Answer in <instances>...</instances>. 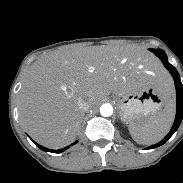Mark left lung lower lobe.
<instances>
[{"mask_svg":"<svg viewBox=\"0 0 183 183\" xmlns=\"http://www.w3.org/2000/svg\"><path fill=\"white\" fill-rule=\"evenodd\" d=\"M150 50L152 52H154V54L157 57L160 58V60L164 64V66L171 73V75L175 81L176 95H177V112H176V117H175L173 126H172L170 132L166 135V137L162 141H160L159 143H157L155 145L148 147V149H153V148L163 145L167 140H169V138L176 132V130L178 129V127L183 119V85L181 83L180 76H179L176 68L168 62L166 53L161 49H150Z\"/></svg>","mask_w":183,"mask_h":183,"instance_id":"obj_1","label":"left lung lower lobe"}]
</instances>
